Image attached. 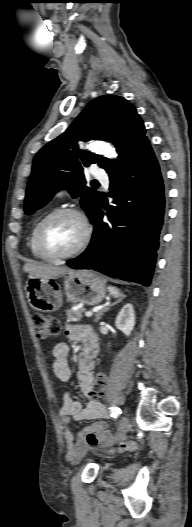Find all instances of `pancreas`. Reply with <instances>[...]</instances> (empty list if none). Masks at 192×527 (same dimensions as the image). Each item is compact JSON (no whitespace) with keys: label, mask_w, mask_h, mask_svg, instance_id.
<instances>
[{"label":"pancreas","mask_w":192,"mask_h":527,"mask_svg":"<svg viewBox=\"0 0 192 527\" xmlns=\"http://www.w3.org/2000/svg\"><path fill=\"white\" fill-rule=\"evenodd\" d=\"M85 308H79L77 310L69 309L66 311L67 315V322H79L81 318L83 317V313L85 312Z\"/></svg>","instance_id":"pancreas-1"}]
</instances>
